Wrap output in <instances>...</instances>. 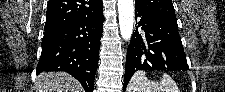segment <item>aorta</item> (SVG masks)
<instances>
[{"mask_svg": "<svg viewBox=\"0 0 225 92\" xmlns=\"http://www.w3.org/2000/svg\"><path fill=\"white\" fill-rule=\"evenodd\" d=\"M120 33L124 40H130L133 33L134 3L133 0H118Z\"/></svg>", "mask_w": 225, "mask_h": 92, "instance_id": "obj_1", "label": "aorta"}]
</instances>
